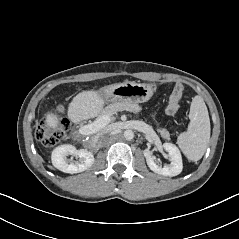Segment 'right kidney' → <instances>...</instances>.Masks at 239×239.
I'll return each mask as SVG.
<instances>
[{
	"mask_svg": "<svg viewBox=\"0 0 239 239\" xmlns=\"http://www.w3.org/2000/svg\"><path fill=\"white\" fill-rule=\"evenodd\" d=\"M76 157V161L67 158ZM52 164L58 170L65 173H80L88 169L94 163V156L86 149L77 150L73 145L65 144L58 146L52 152Z\"/></svg>",
	"mask_w": 239,
	"mask_h": 239,
	"instance_id": "obj_1",
	"label": "right kidney"
}]
</instances>
